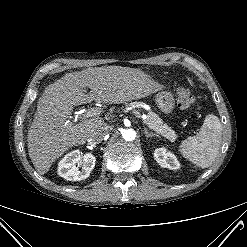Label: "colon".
<instances>
[{
    "instance_id": "colon-1",
    "label": "colon",
    "mask_w": 247,
    "mask_h": 247,
    "mask_svg": "<svg viewBox=\"0 0 247 247\" xmlns=\"http://www.w3.org/2000/svg\"><path fill=\"white\" fill-rule=\"evenodd\" d=\"M195 104V97L188 88L181 87L177 92V105L182 110H189Z\"/></svg>"
}]
</instances>
